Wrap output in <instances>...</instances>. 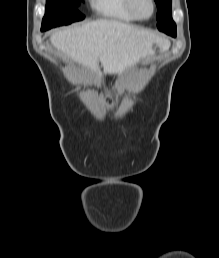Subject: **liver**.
Here are the masks:
<instances>
[{"label": "liver", "mask_w": 219, "mask_h": 258, "mask_svg": "<svg viewBox=\"0 0 219 258\" xmlns=\"http://www.w3.org/2000/svg\"><path fill=\"white\" fill-rule=\"evenodd\" d=\"M67 58L96 72L101 61L105 74H121L151 52L153 43L168 45L156 35L115 20H97L60 30L50 37Z\"/></svg>", "instance_id": "obj_1"}]
</instances>
